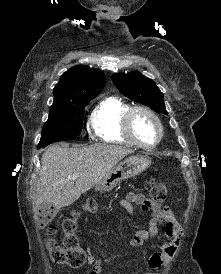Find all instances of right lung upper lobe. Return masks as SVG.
<instances>
[{"instance_id": "obj_1", "label": "right lung upper lobe", "mask_w": 221, "mask_h": 274, "mask_svg": "<svg viewBox=\"0 0 221 274\" xmlns=\"http://www.w3.org/2000/svg\"><path fill=\"white\" fill-rule=\"evenodd\" d=\"M105 84L102 71L85 65L70 68L53 89V103L99 94Z\"/></svg>"}]
</instances>
